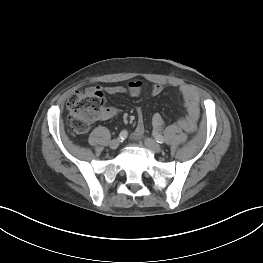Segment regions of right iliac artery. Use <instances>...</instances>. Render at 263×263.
<instances>
[{"label": "right iliac artery", "mask_w": 263, "mask_h": 263, "mask_svg": "<svg viewBox=\"0 0 263 263\" xmlns=\"http://www.w3.org/2000/svg\"><path fill=\"white\" fill-rule=\"evenodd\" d=\"M127 136H128V132H127L126 130H123V131H121L120 134H119V139H120L121 141H123V140H125V139L127 138Z\"/></svg>", "instance_id": "82829eb1"}]
</instances>
